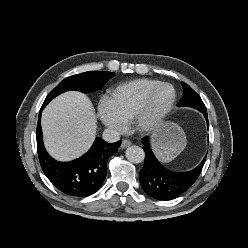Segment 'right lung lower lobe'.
<instances>
[{
  "instance_id": "right-lung-lower-lobe-1",
  "label": "right lung lower lobe",
  "mask_w": 248,
  "mask_h": 248,
  "mask_svg": "<svg viewBox=\"0 0 248 248\" xmlns=\"http://www.w3.org/2000/svg\"><path fill=\"white\" fill-rule=\"evenodd\" d=\"M42 105L36 131L37 150L43 172L52 184L70 196L85 197L101 187L107 173L108 158L118 151L121 141L107 143L96 138L90 150L71 162H58L45 150L40 124Z\"/></svg>"
}]
</instances>
